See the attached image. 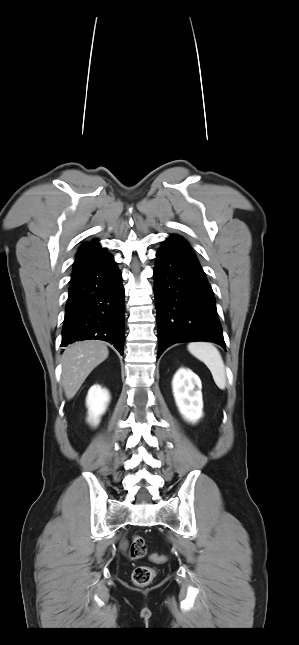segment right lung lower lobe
<instances>
[{"mask_svg":"<svg viewBox=\"0 0 299 645\" xmlns=\"http://www.w3.org/2000/svg\"><path fill=\"white\" fill-rule=\"evenodd\" d=\"M124 308L122 276L111 255L73 272L61 346L103 340L122 355Z\"/></svg>","mask_w":299,"mask_h":645,"instance_id":"right-lung-lower-lobe-1","label":"right lung lower lobe"}]
</instances>
